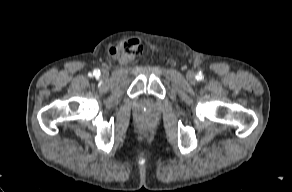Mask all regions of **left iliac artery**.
Instances as JSON below:
<instances>
[{"label": "left iliac artery", "instance_id": "left-iliac-artery-1", "mask_svg": "<svg viewBox=\"0 0 292 192\" xmlns=\"http://www.w3.org/2000/svg\"><path fill=\"white\" fill-rule=\"evenodd\" d=\"M198 79H201L202 78V76H201V74L200 75H198V77H197Z\"/></svg>", "mask_w": 292, "mask_h": 192}]
</instances>
